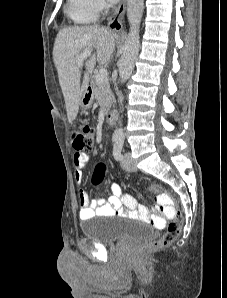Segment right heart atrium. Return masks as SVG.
Wrapping results in <instances>:
<instances>
[{
    "label": "right heart atrium",
    "mask_w": 227,
    "mask_h": 298,
    "mask_svg": "<svg viewBox=\"0 0 227 298\" xmlns=\"http://www.w3.org/2000/svg\"><path fill=\"white\" fill-rule=\"evenodd\" d=\"M82 5L95 15L100 14L106 7V0H79Z\"/></svg>",
    "instance_id": "right-heart-atrium-1"
}]
</instances>
